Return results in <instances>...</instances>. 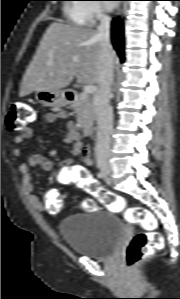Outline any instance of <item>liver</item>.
<instances>
[{
    "mask_svg": "<svg viewBox=\"0 0 180 299\" xmlns=\"http://www.w3.org/2000/svg\"><path fill=\"white\" fill-rule=\"evenodd\" d=\"M101 51L102 41L96 30L51 23L23 76L20 97L37 90H61L74 77L80 84H96ZM112 55L114 62L113 51Z\"/></svg>",
    "mask_w": 180,
    "mask_h": 299,
    "instance_id": "liver-1",
    "label": "liver"
}]
</instances>
